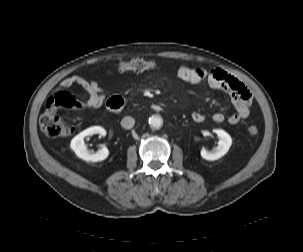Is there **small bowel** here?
I'll use <instances>...</instances> for the list:
<instances>
[{
	"label": "small bowel",
	"instance_id": "1",
	"mask_svg": "<svg viewBox=\"0 0 303 252\" xmlns=\"http://www.w3.org/2000/svg\"><path fill=\"white\" fill-rule=\"evenodd\" d=\"M173 70L181 80L187 83L205 84L212 90L221 91L227 94L235 108V113L228 117V122L230 124H237L249 114L252 102L251 92L236 78L225 73H215L198 66L183 63L175 65ZM75 84L81 86L88 92L89 98L85 104L87 108L98 109L105 104L107 92L93 79H86L82 76L73 75L64 79L59 87L61 89H69ZM117 98L119 97H114L113 101ZM110 103L112 102L110 101ZM191 117L196 123H201L205 120L204 115L200 112H193ZM212 120L216 123H222L226 120V116L221 112H216L212 115Z\"/></svg>",
	"mask_w": 303,
	"mask_h": 252
}]
</instances>
